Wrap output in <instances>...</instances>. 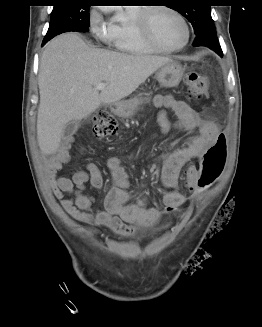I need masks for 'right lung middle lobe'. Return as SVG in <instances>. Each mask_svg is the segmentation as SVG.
Here are the masks:
<instances>
[{
    "mask_svg": "<svg viewBox=\"0 0 262 327\" xmlns=\"http://www.w3.org/2000/svg\"><path fill=\"white\" fill-rule=\"evenodd\" d=\"M54 6L49 29L43 44L54 36L68 31L87 32L89 27L88 5H78V0H59Z\"/></svg>",
    "mask_w": 262,
    "mask_h": 327,
    "instance_id": "dd1d6c3e",
    "label": "right lung middle lobe"
}]
</instances>
